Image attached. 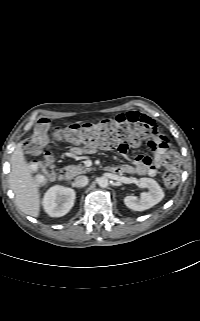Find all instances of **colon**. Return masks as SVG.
I'll use <instances>...</instances> for the list:
<instances>
[{"mask_svg":"<svg viewBox=\"0 0 200 321\" xmlns=\"http://www.w3.org/2000/svg\"><path fill=\"white\" fill-rule=\"evenodd\" d=\"M49 130V120H40L25 141L26 149L30 153L40 152L48 143ZM53 137L78 145L85 150L101 147L126 152L128 147L138 146L144 139L156 138V132L149 123L141 119L132 120L119 115L94 123H78L58 128L53 131ZM164 163L165 170L162 175L164 185L167 188H174L180 178L179 157L169 152L165 155ZM54 167V156L47 151L35 167L37 179L41 181L53 177Z\"/></svg>","mask_w":200,"mask_h":321,"instance_id":"5ec220e1","label":"colon"}]
</instances>
